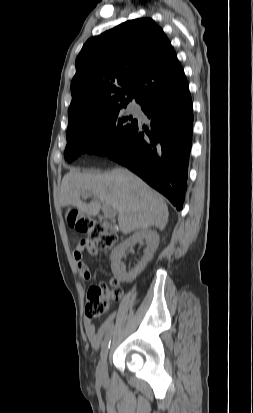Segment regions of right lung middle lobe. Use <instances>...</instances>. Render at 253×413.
I'll use <instances>...</instances> for the list:
<instances>
[{"label": "right lung middle lobe", "mask_w": 253, "mask_h": 413, "mask_svg": "<svg viewBox=\"0 0 253 413\" xmlns=\"http://www.w3.org/2000/svg\"><path fill=\"white\" fill-rule=\"evenodd\" d=\"M126 104L96 110L69 121L64 157L68 162L82 153L104 156L118 145L138 124L120 112Z\"/></svg>", "instance_id": "right-lung-middle-lobe-1"}]
</instances>
